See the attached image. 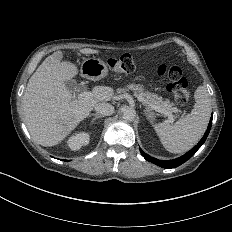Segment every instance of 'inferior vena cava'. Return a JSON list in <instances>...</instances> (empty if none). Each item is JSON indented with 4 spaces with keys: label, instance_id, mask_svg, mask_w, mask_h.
Here are the masks:
<instances>
[{
    "label": "inferior vena cava",
    "instance_id": "602c4592",
    "mask_svg": "<svg viewBox=\"0 0 232 232\" xmlns=\"http://www.w3.org/2000/svg\"><path fill=\"white\" fill-rule=\"evenodd\" d=\"M95 110L98 114L103 116H110L114 113V107L109 103H98L95 106Z\"/></svg>",
    "mask_w": 232,
    "mask_h": 232
}]
</instances>
